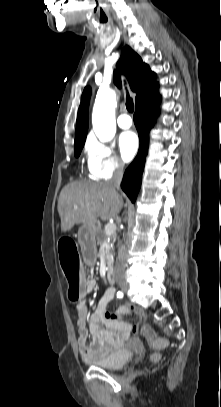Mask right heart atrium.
I'll list each match as a JSON object with an SVG mask.
<instances>
[{"label": "right heart atrium", "instance_id": "d8ad5b80", "mask_svg": "<svg viewBox=\"0 0 221 407\" xmlns=\"http://www.w3.org/2000/svg\"><path fill=\"white\" fill-rule=\"evenodd\" d=\"M85 151L88 169L95 178H109L124 166L113 148L97 139H89Z\"/></svg>", "mask_w": 221, "mask_h": 407}]
</instances>
